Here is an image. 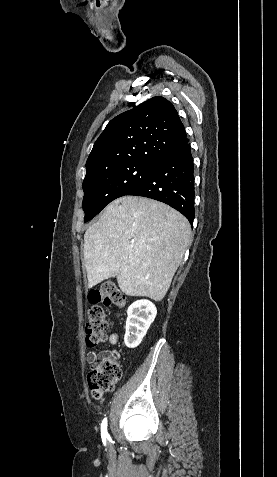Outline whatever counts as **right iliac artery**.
I'll use <instances>...</instances> for the list:
<instances>
[{"label": "right iliac artery", "mask_w": 277, "mask_h": 477, "mask_svg": "<svg viewBox=\"0 0 277 477\" xmlns=\"http://www.w3.org/2000/svg\"><path fill=\"white\" fill-rule=\"evenodd\" d=\"M101 435L103 439L108 438V432H107V418H104L101 424Z\"/></svg>", "instance_id": "obj_1"}]
</instances>
